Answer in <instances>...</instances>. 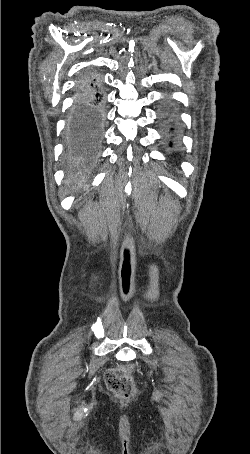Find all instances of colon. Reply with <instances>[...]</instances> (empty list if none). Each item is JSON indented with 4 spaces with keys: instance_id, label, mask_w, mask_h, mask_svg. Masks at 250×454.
<instances>
[{
    "instance_id": "1",
    "label": "colon",
    "mask_w": 250,
    "mask_h": 454,
    "mask_svg": "<svg viewBox=\"0 0 250 454\" xmlns=\"http://www.w3.org/2000/svg\"><path fill=\"white\" fill-rule=\"evenodd\" d=\"M132 373V367L128 366L112 368L106 372L107 387L115 397L128 399L135 395L136 388Z\"/></svg>"
}]
</instances>
